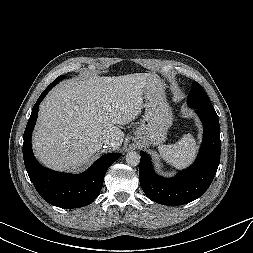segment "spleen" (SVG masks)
<instances>
[{"instance_id":"spleen-1","label":"spleen","mask_w":253,"mask_h":253,"mask_svg":"<svg viewBox=\"0 0 253 253\" xmlns=\"http://www.w3.org/2000/svg\"><path fill=\"white\" fill-rule=\"evenodd\" d=\"M197 149L193 136L186 134L176 144L161 145L159 152L166 163L176 169H184L194 160Z\"/></svg>"}]
</instances>
